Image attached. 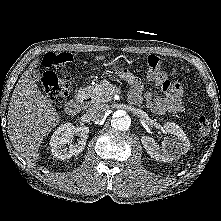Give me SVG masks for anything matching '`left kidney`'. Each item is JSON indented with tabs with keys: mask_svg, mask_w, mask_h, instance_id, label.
<instances>
[{
	"mask_svg": "<svg viewBox=\"0 0 221 221\" xmlns=\"http://www.w3.org/2000/svg\"><path fill=\"white\" fill-rule=\"evenodd\" d=\"M164 131L171 134L160 146L152 137L142 136L141 142L147 153L157 161L168 162L188 152L190 141L180 126L172 122L164 124Z\"/></svg>",
	"mask_w": 221,
	"mask_h": 221,
	"instance_id": "obj_1",
	"label": "left kidney"
}]
</instances>
